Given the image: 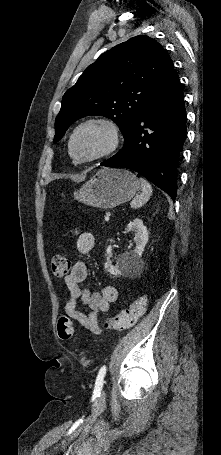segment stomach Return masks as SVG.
I'll return each mask as SVG.
<instances>
[{"instance_id": "stomach-1", "label": "stomach", "mask_w": 221, "mask_h": 455, "mask_svg": "<svg viewBox=\"0 0 221 455\" xmlns=\"http://www.w3.org/2000/svg\"><path fill=\"white\" fill-rule=\"evenodd\" d=\"M140 189L137 177L125 169H101L78 191L74 199L96 208H113L129 201Z\"/></svg>"}]
</instances>
